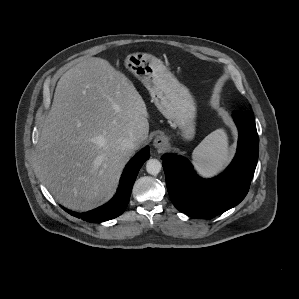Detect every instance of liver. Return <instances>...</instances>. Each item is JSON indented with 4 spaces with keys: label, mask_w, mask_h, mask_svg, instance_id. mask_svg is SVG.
<instances>
[{
    "label": "liver",
    "mask_w": 299,
    "mask_h": 299,
    "mask_svg": "<svg viewBox=\"0 0 299 299\" xmlns=\"http://www.w3.org/2000/svg\"><path fill=\"white\" fill-rule=\"evenodd\" d=\"M149 133L144 100L132 82L108 61L82 60L57 83L38 142V170L63 206L96 207ZM135 137L134 150L121 146Z\"/></svg>",
    "instance_id": "obj_1"
}]
</instances>
